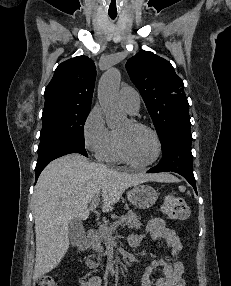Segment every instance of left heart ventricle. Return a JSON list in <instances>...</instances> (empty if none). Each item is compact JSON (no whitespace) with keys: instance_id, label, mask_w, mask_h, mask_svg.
<instances>
[{"instance_id":"obj_1","label":"left heart ventricle","mask_w":231,"mask_h":286,"mask_svg":"<svg viewBox=\"0 0 231 286\" xmlns=\"http://www.w3.org/2000/svg\"><path fill=\"white\" fill-rule=\"evenodd\" d=\"M116 133L123 143L126 154L135 163L144 164L154 157L155 140L147 130L134 127L126 121L116 130Z\"/></svg>"}]
</instances>
